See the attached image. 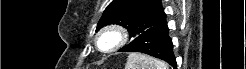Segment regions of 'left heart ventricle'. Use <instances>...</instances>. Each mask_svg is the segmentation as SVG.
<instances>
[{
	"mask_svg": "<svg viewBox=\"0 0 246 69\" xmlns=\"http://www.w3.org/2000/svg\"><path fill=\"white\" fill-rule=\"evenodd\" d=\"M107 41H112V38H110V37H105V38L103 39V42H107Z\"/></svg>",
	"mask_w": 246,
	"mask_h": 69,
	"instance_id": "b2bd125f",
	"label": "left heart ventricle"
}]
</instances>
